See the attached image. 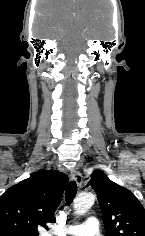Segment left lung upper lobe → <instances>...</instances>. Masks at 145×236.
<instances>
[{"label": "left lung upper lobe", "mask_w": 145, "mask_h": 236, "mask_svg": "<svg viewBox=\"0 0 145 236\" xmlns=\"http://www.w3.org/2000/svg\"><path fill=\"white\" fill-rule=\"evenodd\" d=\"M109 236H145V209L128 189L98 170L91 177Z\"/></svg>", "instance_id": "left-lung-upper-lobe-1"}]
</instances>
